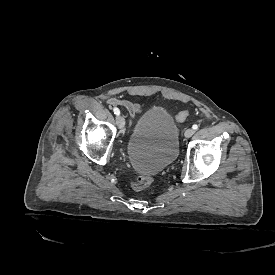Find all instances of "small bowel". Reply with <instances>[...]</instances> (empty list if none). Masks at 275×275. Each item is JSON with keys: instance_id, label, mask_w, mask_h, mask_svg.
<instances>
[{"instance_id": "c3829d8e", "label": "small bowel", "mask_w": 275, "mask_h": 275, "mask_svg": "<svg viewBox=\"0 0 275 275\" xmlns=\"http://www.w3.org/2000/svg\"><path fill=\"white\" fill-rule=\"evenodd\" d=\"M107 103L111 106H118L126 109L132 117H135L136 115L141 113L143 110V107L141 104L131 102L127 99H120L117 97L109 98Z\"/></svg>"}]
</instances>
